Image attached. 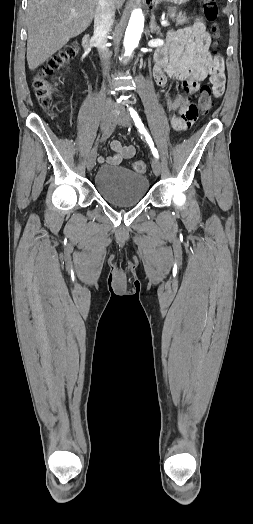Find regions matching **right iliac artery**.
<instances>
[{
	"instance_id": "obj_1",
	"label": "right iliac artery",
	"mask_w": 253,
	"mask_h": 524,
	"mask_svg": "<svg viewBox=\"0 0 253 524\" xmlns=\"http://www.w3.org/2000/svg\"><path fill=\"white\" fill-rule=\"evenodd\" d=\"M116 125L117 123L113 122L111 125H109L106 130H104V132L102 133L101 137H98L96 142H95V145L98 146L100 143L106 141L110 136L111 134L114 132L115 128H116Z\"/></svg>"
}]
</instances>
